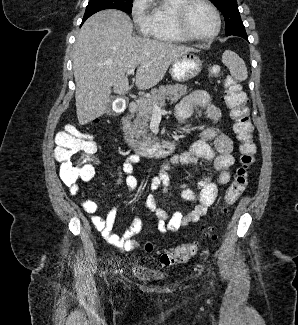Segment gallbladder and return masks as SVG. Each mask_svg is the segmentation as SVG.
Segmentation results:
<instances>
[{
	"label": "gallbladder",
	"instance_id": "1",
	"mask_svg": "<svg viewBox=\"0 0 298 325\" xmlns=\"http://www.w3.org/2000/svg\"><path fill=\"white\" fill-rule=\"evenodd\" d=\"M111 98H113V96H111ZM113 110H112V106L111 104H109L108 108H107V114H112Z\"/></svg>",
	"mask_w": 298,
	"mask_h": 325
}]
</instances>
